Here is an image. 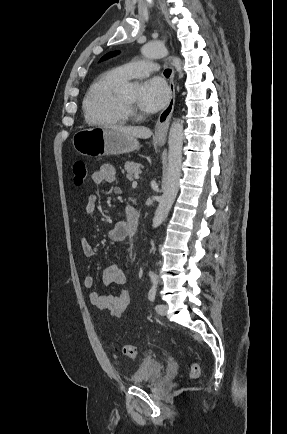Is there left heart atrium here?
I'll list each match as a JSON object with an SVG mask.
<instances>
[{"label": "left heart atrium", "instance_id": "obj_1", "mask_svg": "<svg viewBox=\"0 0 287 434\" xmlns=\"http://www.w3.org/2000/svg\"><path fill=\"white\" fill-rule=\"evenodd\" d=\"M169 96L170 91L166 83L159 78H153L140 85L137 103L145 112L153 113L166 105Z\"/></svg>", "mask_w": 287, "mask_h": 434}]
</instances>
